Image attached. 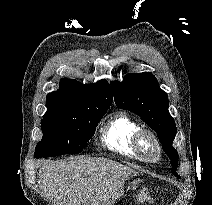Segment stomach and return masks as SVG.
I'll return each mask as SVG.
<instances>
[{
    "mask_svg": "<svg viewBox=\"0 0 212 205\" xmlns=\"http://www.w3.org/2000/svg\"><path fill=\"white\" fill-rule=\"evenodd\" d=\"M140 183V180L139 179H133L129 182L128 184V189H131V190H136L138 185Z\"/></svg>",
    "mask_w": 212,
    "mask_h": 205,
    "instance_id": "stomach-1",
    "label": "stomach"
}]
</instances>
